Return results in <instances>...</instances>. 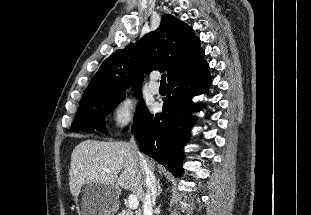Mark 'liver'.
<instances>
[{
  "instance_id": "liver-1",
  "label": "liver",
  "mask_w": 311,
  "mask_h": 215,
  "mask_svg": "<svg viewBox=\"0 0 311 215\" xmlns=\"http://www.w3.org/2000/svg\"><path fill=\"white\" fill-rule=\"evenodd\" d=\"M147 161L154 168L152 162ZM90 182L112 185L119 194L124 188L138 200H144L145 178L130 143L90 139L80 142L71 154L69 187L72 196L76 197Z\"/></svg>"
}]
</instances>
